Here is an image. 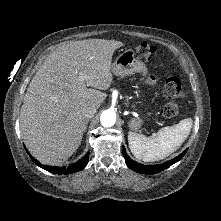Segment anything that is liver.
I'll list each match as a JSON object with an SVG mask.
<instances>
[{
    "label": "liver",
    "instance_id": "liver-1",
    "mask_svg": "<svg viewBox=\"0 0 221 221\" xmlns=\"http://www.w3.org/2000/svg\"><path fill=\"white\" fill-rule=\"evenodd\" d=\"M122 42L88 39L62 44L40 66L24 96L20 130L31 154L59 165L80 146L88 104L100 107L113 83L112 56ZM91 87V88H88Z\"/></svg>",
    "mask_w": 221,
    "mask_h": 221
}]
</instances>
